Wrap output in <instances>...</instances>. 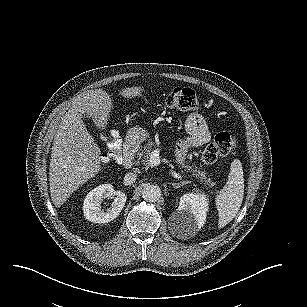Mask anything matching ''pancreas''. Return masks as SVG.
<instances>
[{
	"instance_id": "pancreas-1",
	"label": "pancreas",
	"mask_w": 307,
	"mask_h": 307,
	"mask_svg": "<svg viewBox=\"0 0 307 307\" xmlns=\"http://www.w3.org/2000/svg\"><path fill=\"white\" fill-rule=\"evenodd\" d=\"M155 148H157L155 143L151 140H148V142L143 147H141L139 151L136 153L137 161L147 166L149 164V155ZM187 170H190L192 172L193 177L199 178L200 182L204 184L206 188H212L213 186L216 185V183L213 182L211 178H208L206 176L205 171H200L198 169H192V166L188 167Z\"/></svg>"
}]
</instances>
